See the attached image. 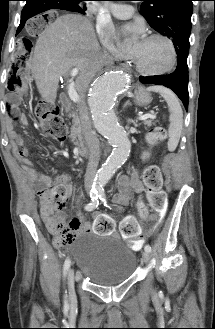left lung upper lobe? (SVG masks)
<instances>
[{"label": "left lung upper lobe", "instance_id": "left-lung-upper-lobe-1", "mask_svg": "<svg viewBox=\"0 0 215 329\" xmlns=\"http://www.w3.org/2000/svg\"><path fill=\"white\" fill-rule=\"evenodd\" d=\"M141 12L149 25L172 40L176 53H189L193 0H143Z\"/></svg>", "mask_w": 215, "mask_h": 329}]
</instances>
